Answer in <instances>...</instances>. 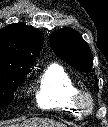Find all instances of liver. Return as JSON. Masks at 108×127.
I'll list each match as a JSON object with an SVG mask.
<instances>
[{"label": "liver", "instance_id": "6515ba94", "mask_svg": "<svg viewBox=\"0 0 108 127\" xmlns=\"http://www.w3.org/2000/svg\"><path fill=\"white\" fill-rule=\"evenodd\" d=\"M9 127H66L64 124L47 118H30L23 123Z\"/></svg>", "mask_w": 108, "mask_h": 127}]
</instances>
